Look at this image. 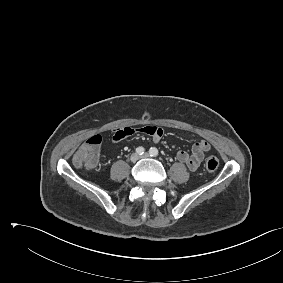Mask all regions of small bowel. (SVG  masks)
Segmentation results:
<instances>
[{
  "mask_svg": "<svg viewBox=\"0 0 283 283\" xmlns=\"http://www.w3.org/2000/svg\"><path fill=\"white\" fill-rule=\"evenodd\" d=\"M136 132H142L151 136L155 142H158L163 136V130L158 126H145L140 129L118 127L113 129L111 140L113 143H118ZM210 148V143L202 139L193 145L191 152L181 150L177 153L176 157L178 161L185 164L189 170L195 171L202 163L205 153H207Z\"/></svg>",
  "mask_w": 283,
  "mask_h": 283,
  "instance_id": "obj_1",
  "label": "small bowel"
}]
</instances>
